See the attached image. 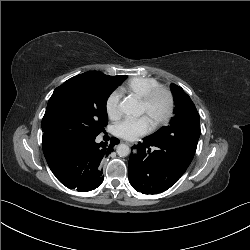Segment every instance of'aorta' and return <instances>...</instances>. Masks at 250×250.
Segmentation results:
<instances>
[{
  "label": "aorta",
  "instance_id": "1",
  "mask_svg": "<svg viewBox=\"0 0 250 250\" xmlns=\"http://www.w3.org/2000/svg\"><path fill=\"white\" fill-rule=\"evenodd\" d=\"M119 109L127 115H133V116H140L141 115L140 105L138 104V102L136 100L131 99V98H127V99L123 100L119 104ZM116 151L120 157H125V156H128L130 154V148L126 144H119L117 146Z\"/></svg>",
  "mask_w": 250,
  "mask_h": 250
}]
</instances>
